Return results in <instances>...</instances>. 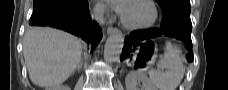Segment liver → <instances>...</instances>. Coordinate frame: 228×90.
I'll return each instance as SVG.
<instances>
[{
    "instance_id": "obj_1",
    "label": "liver",
    "mask_w": 228,
    "mask_h": 90,
    "mask_svg": "<svg viewBox=\"0 0 228 90\" xmlns=\"http://www.w3.org/2000/svg\"><path fill=\"white\" fill-rule=\"evenodd\" d=\"M81 41L62 31L30 28L23 41V55L33 84L52 88L65 82L77 68Z\"/></svg>"
}]
</instances>
